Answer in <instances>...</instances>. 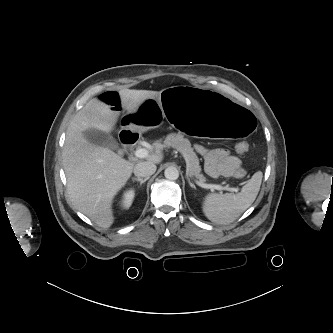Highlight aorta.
<instances>
[{
  "mask_svg": "<svg viewBox=\"0 0 333 333\" xmlns=\"http://www.w3.org/2000/svg\"><path fill=\"white\" fill-rule=\"evenodd\" d=\"M164 176L168 180H176L179 177V171L176 167H167L164 171Z\"/></svg>",
  "mask_w": 333,
  "mask_h": 333,
  "instance_id": "aorta-1",
  "label": "aorta"
}]
</instances>
